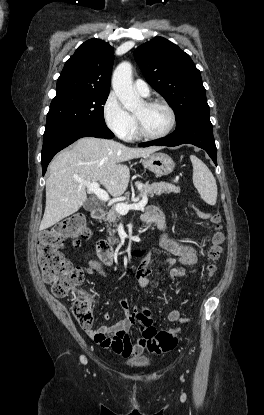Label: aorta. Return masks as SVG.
Wrapping results in <instances>:
<instances>
[{"mask_svg":"<svg viewBox=\"0 0 264 415\" xmlns=\"http://www.w3.org/2000/svg\"><path fill=\"white\" fill-rule=\"evenodd\" d=\"M112 87L120 102L128 111L137 110L142 99L139 97L132 84V65L124 61L120 63L112 75Z\"/></svg>","mask_w":264,"mask_h":415,"instance_id":"aorta-1","label":"aorta"}]
</instances>
